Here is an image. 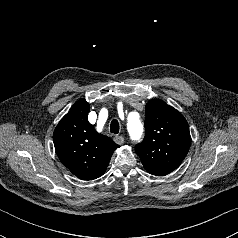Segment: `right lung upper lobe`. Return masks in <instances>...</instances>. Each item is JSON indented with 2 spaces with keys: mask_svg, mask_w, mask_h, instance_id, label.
Here are the masks:
<instances>
[{
  "mask_svg": "<svg viewBox=\"0 0 238 238\" xmlns=\"http://www.w3.org/2000/svg\"><path fill=\"white\" fill-rule=\"evenodd\" d=\"M89 110L86 100H78L53 133L58 158L81 180L102 176L113 152L119 147L109 137L95 131L88 121Z\"/></svg>",
  "mask_w": 238,
  "mask_h": 238,
  "instance_id": "right-lung-upper-lobe-1",
  "label": "right lung upper lobe"
}]
</instances>
